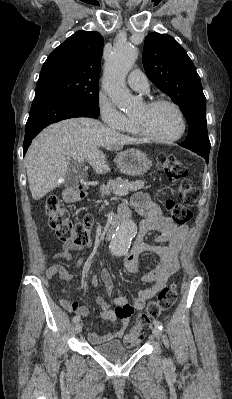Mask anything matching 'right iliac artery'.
<instances>
[{"instance_id": "82829eb1", "label": "right iliac artery", "mask_w": 232, "mask_h": 399, "mask_svg": "<svg viewBox=\"0 0 232 399\" xmlns=\"http://www.w3.org/2000/svg\"><path fill=\"white\" fill-rule=\"evenodd\" d=\"M80 321V316L79 315H75L73 317V323H78Z\"/></svg>"}]
</instances>
